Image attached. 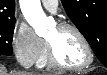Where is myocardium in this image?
Listing matches in <instances>:
<instances>
[{
    "label": "myocardium",
    "mask_w": 107,
    "mask_h": 75,
    "mask_svg": "<svg viewBox=\"0 0 107 75\" xmlns=\"http://www.w3.org/2000/svg\"><path fill=\"white\" fill-rule=\"evenodd\" d=\"M56 27L58 30H71L78 36V38L80 39L81 43L83 44L86 50L87 59L84 63L80 65H75V66L65 65L61 63L57 58L52 44L49 41H46L47 59L49 66H51L54 69L62 70V71H80L89 67L93 63L94 52L90 42L88 41L84 33L76 25L68 22L59 23Z\"/></svg>",
    "instance_id": "1"
}]
</instances>
